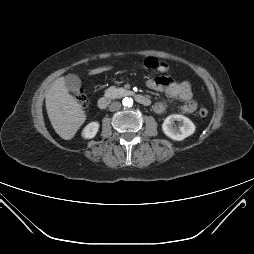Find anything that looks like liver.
Returning a JSON list of instances; mask_svg holds the SVG:
<instances>
[{"instance_id": "1", "label": "liver", "mask_w": 254, "mask_h": 254, "mask_svg": "<svg viewBox=\"0 0 254 254\" xmlns=\"http://www.w3.org/2000/svg\"><path fill=\"white\" fill-rule=\"evenodd\" d=\"M111 67H99L90 71L91 75L110 70ZM49 120L55 132L64 140L74 137L86 120V114L77 100L69 94L65 78H58L47 91L45 97Z\"/></svg>"}]
</instances>
